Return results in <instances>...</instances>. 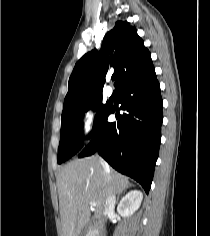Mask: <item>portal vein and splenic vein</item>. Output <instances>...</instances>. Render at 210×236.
<instances>
[{
  "mask_svg": "<svg viewBox=\"0 0 210 236\" xmlns=\"http://www.w3.org/2000/svg\"><path fill=\"white\" fill-rule=\"evenodd\" d=\"M90 206H91V207H95V206H96V204H95V203H93V202H91V203H90Z\"/></svg>",
  "mask_w": 210,
  "mask_h": 236,
  "instance_id": "1",
  "label": "portal vein and splenic vein"
}]
</instances>
